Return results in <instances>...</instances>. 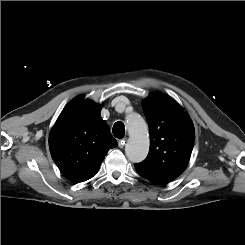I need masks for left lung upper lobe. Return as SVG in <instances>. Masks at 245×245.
<instances>
[{
	"label": "left lung upper lobe",
	"instance_id": "5c2ea615",
	"mask_svg": "<svg viewBox=\"0 0 245 245\" xmlns=\"http://www.w3.org/2000/svg\"><path fill=\"white\" fill-rule=\"evenodd\" d=\"M150 130L147 158L137 171L173 181L186 169L194 147L195 129L188 113L170 96L154 93L142 103Z\"/></svg>",
	"mask_w": 245,
	"mask_h": 245
}]
</instances>
